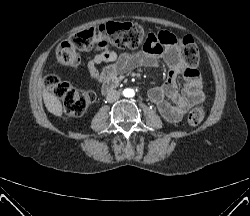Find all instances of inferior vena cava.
I'll use <instances>...</instances> for the list:
<instances>
[{
    "instance_id": "602c4592",
    "label": "inferior vena cava",
    "mask_w": 250,
    "mask_h": 216,
    "mask_svg": "<svg viewBox=\"0 0 250 216\" xmlns=\"http://www.w3.org/2000/svg\"><path fill=\"white\" fill-rule=\"evenodd\" d=\"M120 98V92L116 90H110L107 93L106 99L108 102H115Z\"/></svg>"
}]
</instances>
